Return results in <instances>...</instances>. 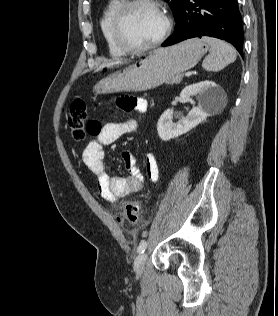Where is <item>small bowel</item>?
<instances>
[{
    "mask_svg": "<svg viewBox=\"0 0 278 316\" xmlns=\"http://www.w3.org/2000/svg\"><path fill=\"white\" fill-rule=\"evenodd\" d=\"M117 104L127 112L141 114L147 110V101L142 98L124 97L119 99ZM136 126L137 122L134 118L100 125L99 131L93 135L95 139L90 141L83 150V163L95 176L101 197L110 203H116L121 198L137 193L143 187L144 176L131 151L126 150L121 154L128 173L126 176H111L104 163V146L135 130ZM145 169L148 179L153 183L157 182L159 166L155 155L151 152L145 155Z\"/></svg>",
    "mask_w": 278,
    "mask_h": 316,
    "instance_id": "1",
    "label": "small bowel"
}]
</instances>
